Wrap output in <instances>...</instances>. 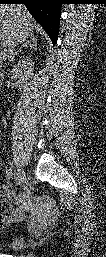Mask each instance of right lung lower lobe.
<instances>
[{
  "mask_svg": "<svg viewBox=\"0 0 106 257\" xmlns=\"http://www.w3.org/2000/svg\"><path fill=\"white\" fill-rule=\"evenodd\" d=\"M1 4H25L30 14L56 44L61 14V0H0Z\"/></svg>",
  "mask_w": 106,
  "mask_h": 257,
  "instance_id": "1",
  "label": "right lung lower lobe"
}]
</instances>
